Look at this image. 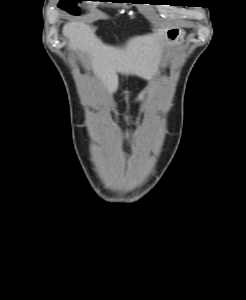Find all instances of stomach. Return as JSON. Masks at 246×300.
<instances>
[{"instance_id":"0dacf381","label":"stomach","mask_w":246,"mask_h":300,"mask_svg":"<svg viewBox=\"0 0 246 300\" xmlns=\"http://www.w3.org/2000/svg\"><path fill=\"white\" fill-rule=\"evenodd\" d=\"M185 32L182 29H169L165 33V49L166 51L170 50L173 45H177L180 41L183 40ZM141 99V95L138 97V100Z\"/></svg>"}]
</instances>
